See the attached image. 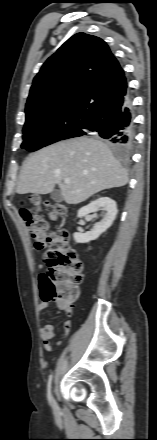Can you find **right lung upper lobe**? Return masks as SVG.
<instances>
[{
  "label": "right lung upper lobe",
  "mask_w": 157,
  "mask_h": 440,
  "mask_svg": "<svg viewBox=\"0 0 157 440\" xmlns=\"http://www.w3.org/2000/svg\"><path fill=\"white\" fill-rule=\"evenodd\" d=\"M119 62L100 38L78 33L42 66L26 103V121L85 125L127 96Z\"/></svg>",
  "instance_id": "obj_1"
}]
</instances>
